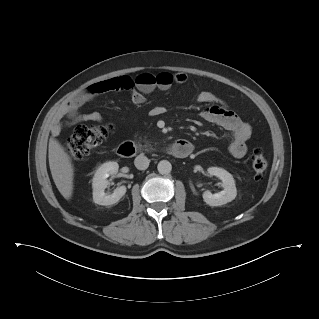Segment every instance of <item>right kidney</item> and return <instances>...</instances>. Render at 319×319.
Instances as JSON below:
<instances>
[{"mask_svg": "<svg viewBox=\"0 0 319 319\" xmlns=\"http://www.w3.org/2000/svg\"><path fill=\"white\" fill-rule=\"evenodd\" d=\"M119 165L117 162H106L102 164L93 177V201L99 205H112L117 203L126 193V187L116 188L110 195L105 194L104 190L109 184L107 178L118 172Z\"/></svg>", "mask_w": 319, "mask_h": 319, "instance_id": "right-kidney-1", "label": "right kidney"}]
</instances>
